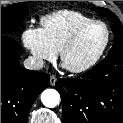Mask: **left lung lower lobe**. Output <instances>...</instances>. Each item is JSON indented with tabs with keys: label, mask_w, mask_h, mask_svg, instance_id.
<instances>
[{
	"label": "left lung lower lobe",
	"mask_w": 123,
	"mask_h": 123,
	"mask_svg": "<svg viewBox=\"0 0 123 123\" xmlns=\"http://www.w3.org/2000/svg\"><path fill=\"white\" fill-rule=\"evenodd\" d=\"M63 123H123V51L108 55L79 78H61Z\"/></svg>",
	"instance_id": "obj_1"
}]
</instances>
